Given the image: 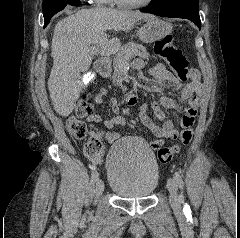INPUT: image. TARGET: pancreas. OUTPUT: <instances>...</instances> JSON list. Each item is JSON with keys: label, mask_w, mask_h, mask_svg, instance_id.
I'll use <instances>...</instances> for the list:
<instances>
[{"label": "pancreas", "mask_w": 240, "mask_h": 238, "mask_svg": "<svg viewBox=\"0 0 240 238\" xmlns=\"http://www.w3.org/2000/svg\"><path fill=\"white\" fill-rule=\"evenodd\" d=\"M130 51H133L134 55H137L142 59L148 60L150 56L145 47L134 42H129L121 47L113 59L112 66L114 72L111 80L114 85L120 86L123 91L127 90V88L122 85V82L125 79L124 69L128 66V59H126V54Z\"/></svg>", "instance_id": "pancreas-1"}]
</instances>
